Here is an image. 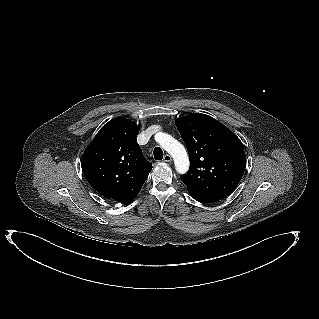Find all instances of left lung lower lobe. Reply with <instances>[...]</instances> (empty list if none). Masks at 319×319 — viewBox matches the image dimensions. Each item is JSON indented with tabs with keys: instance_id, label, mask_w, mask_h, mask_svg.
Listing matches in <instances>:
<instances>
[{
	"instance_id": "1",
	"label": "left lung lower lobe",
	"mask_w": 319,
	"mask_h": 319,
	"mask_svg": "<svg viewBox=\"0 0 319 319\" xmlns=\"http://www.w3.org/2000/svg\"><path fill=\"white\" fill-rule=\"evenodd\" d=\"M189 193H190L191 197H192L193 199L197 200L198 202H201V203L214 202L213 200H210V199H208V198H206V197L200 196V195H198V194H196V193H191V192H189Z\"/></svg>"
}]
</instances>
